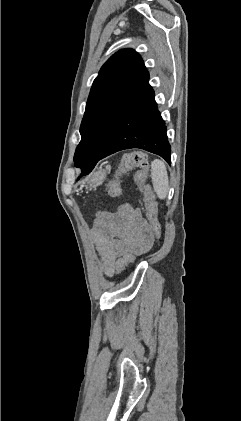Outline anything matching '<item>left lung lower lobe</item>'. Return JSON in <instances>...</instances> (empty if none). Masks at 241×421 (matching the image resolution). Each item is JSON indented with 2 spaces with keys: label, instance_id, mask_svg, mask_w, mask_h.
Segmentation results:
<instances>
[{
  "label": "left lung lower lobe",
  "instance_id": "obj_1",
  "mask_svg": "<svg viewBox=\"0 0 241 421\" xmlns=\"http://www.w3.org/2000/svg\"><path fill=\"white\" fill-rule=\"evenodd\" d=\"M146 71L129 99L115 130L98 159L82 167V174L92 171L96 163L121 150L140 148L155 153L171 163V147L166 134V126L157 104L154 91L148 83Z\"/></svg>",
  "mask_w": 241,
  "mask_h": 421
}]
</instances>
